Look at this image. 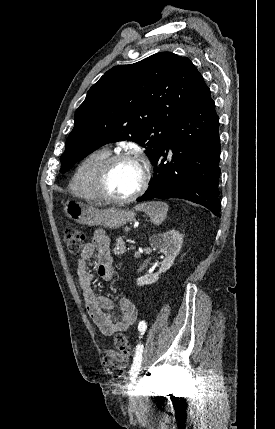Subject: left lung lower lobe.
Instances as JSON below:
<instances>
[{"label": "left lung lower lobe", "mask_w": 275, "mask_h": 429, "mask_svg": "<svg viewBox=\"0 0 275 429\" xmlns=\"http://www.w3.org/2000/svg\"><path fill=\"white\" fill-rule=\"evenodd\" d=\"M219 118L210 90L200 76L189 104L152 161L154 175L137 201L182 198L219 216ZM172 156L167 161L168 150Z\"/></svg>", "instance_id": "obj_1"}]
</instances>
